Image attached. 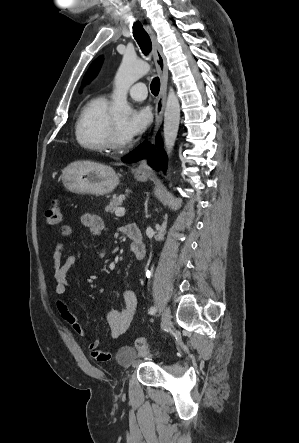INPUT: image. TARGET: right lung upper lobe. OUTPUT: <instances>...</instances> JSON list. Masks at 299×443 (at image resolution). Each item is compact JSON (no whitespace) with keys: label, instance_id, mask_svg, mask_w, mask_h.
Returning <instances> with one entry per match:
<instances>
[{"label":"right lung upper lobe","instance_id":"right-lung-upper-lobe-1","mask_svg":"<svg viewBox=\"0 0 299 443\" xmlns=\"http://www.w3.org/2000/svg\"><path fill=\"white\" fill-rule=\"evenodd\" d=\"M101 63H102V57H99L92 65H91V67L89 68V70H88V73L86 74V76L84 77V80H83V83L85 84V83H88V82H90V80L91 79H93L96 75H97V73H98V71H99V68H100V66H101Z\"/></svg>","mask_w":299,"mask_h":443}]
</instances>
